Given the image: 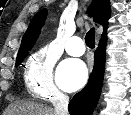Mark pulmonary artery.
<instances>
[{"instance_id": "pulmonary-artery-1", "label": "pulmonary artery", "mask_w": 131, "mask_h": 115, "mask_svg": "<svg viewBox=\"0 0 131 115\" xmlns=\"http://www.w3.org/2000/svg\"><path fill=\"white\" fill-rule=\"evenodd\" d=\"M66 51L72 56H81L85 52V45L81 37L73 36L71 37L66 45Z\"/></svg>"}]
</instances>
